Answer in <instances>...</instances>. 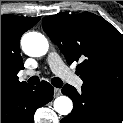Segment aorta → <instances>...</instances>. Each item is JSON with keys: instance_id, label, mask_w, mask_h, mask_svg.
<instances>
[{"instance_id": "aorta-1", "label": "aorta", "mask_w": 123, "mask_h": 123, "mask_svg": "<svg viewBox=\"0 0 123 123\" xmlns=\"http://www.w3.org/2000/svg\"><path fill=\"white\" fill-rule=\"evenodd\" d=\"M21 45L24 53L32 57H42L49 49L47 38L38 32L24 34ZM54 109L60 115H68L73 109L72 100L67 96H59L54 101Z\"/></svg>"}]
</instances>
